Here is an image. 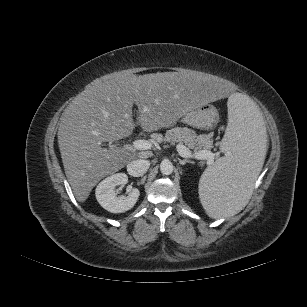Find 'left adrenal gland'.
<instances>
[{"label":"left adrenal gland","instance_id":"1","mask_svg":"<svg viewBox=\"0 0 307 307\" xmlns=\"http://www.w3.org/2000/svg\"><path fill=\"white\" fill-rule=\"evenodd\" d=\"M178 160H179V163H180L181 165H185V164H187V163H189V164H194V162L191 161V160H187V159H185V160L178 159Z\"/></svg>","mask_w":307,"mask_h":307}]
</instances>
